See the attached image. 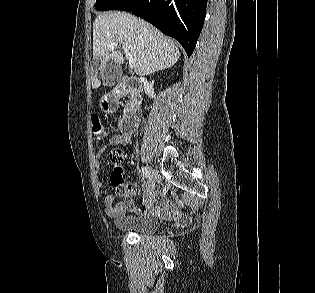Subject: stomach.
<instances>
[{"instance_id": "obj_1", "label": "stomach", "mask_w": 315, "mask_h": 293, "mask_svg": "<svg viewBox=\"0 0 315 293\" xmlns=\"http://www.w3.org/2000/svg\"><path fill=\"white\" fill-rule=\"evenodd\" d=\"M120 102L121 97L118 95V92H103L99 105L104 112H111L119 109Z\"/></svg>"}]
</instances>
